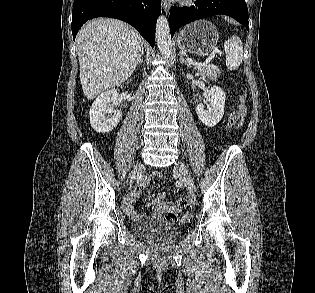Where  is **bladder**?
Here are the masks:
<instances>
[{"label":"bladder","mask_w":315,"mask_h":293,"mask_svg":"<svg viewBox=\"0 0 315 293\" xmlns=\"http://www.w3.org/2000/svg\"><path fill=\"white\" fill-rule=\"evenodd\" d=\"M133 232L139 237L157 245H165L179 235L181 228L162 220L139 219L131 224Z\"/></svg>","instance_id":"obj_1"}]
</instances>
